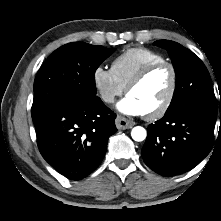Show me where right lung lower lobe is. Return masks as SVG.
<instances>
[{
  "mask_svg": "<svg viewBox=\"0 0 221 221\" xmlns=\"http://www.w3.org/2000/svg\"><path fill=\"white\" fill-rule=\"evenodd\" d=\"M115 118L99 97L59 100L33 120L39 151L61 175L81 180L103 160Z\"/></svg>",
  "mask_w": 221,
  "mask_h": 221,
  "instance_id": "1",
  "label": "right lung lower lobe"
}]
</instances>
